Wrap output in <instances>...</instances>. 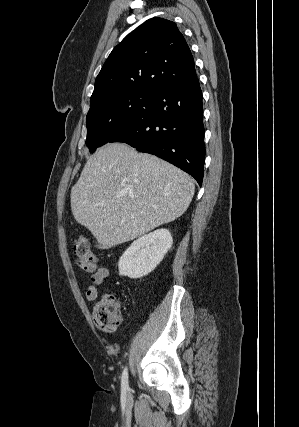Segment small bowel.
Listing matches in <instances>:
<instances>
[{
    "label": "small bowel",
    "instance_id": "small-bowel-1",
    "mask_svg": "<svg viewBox=\"0 0 299 427\" xmlns=\"http://www.w3.org/2000/svg\"><path fill=\"white\" fill-rule=\"evenodd\" d=\"M81 267L84 271L91 273L90 284L86 290V300L94 302L98 297V286L109 276V270L106 267H97L96 264Z\"/></svg>",
    "mask_w": 299,
    "mask_h": 427
}]
</instances>
